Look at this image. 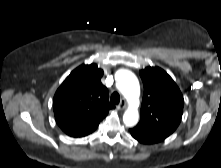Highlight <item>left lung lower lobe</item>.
I'll use <instances>...</instances> for the list:
<instances>
[{
	"mask_svg": "<svg viewBox=\"0 0 221 168\" xmlns=\"http://www.w3.org/2000/svg\"><path fill=\"white\" fill-rule=\"evenodd\" d=\"M129 131H130L133 138H135L137 141L144 143V144L158 143L163 140L157 136H154V135H151L148 133H144V132H140V131H136L133 129H130Z\"/></svg>",
	"mask_w": 221,
	"mask_h": 168,
	"instance_id": "obj_1",
	"label": "left lung lower lobe"
}]
</instances>
